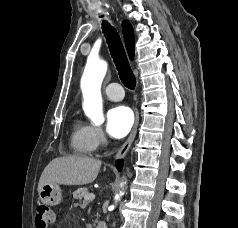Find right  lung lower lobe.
<instances>
[{"label":"right lung lower lobe","instance_id":"1","mask_svg":"<svg viewBox=\"0 0 238 228\" xmlns=\"http://www.w3.org/2000/svg\"><path fill=\"white\" fill-rule=\"evenodd\" d=\"M116 166H117V169H118L119 171H121V170H122V167H123V160H117V161H116Z\"/></svg>","mask_w":238,"mask_h":228}]
</instances>
